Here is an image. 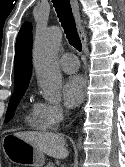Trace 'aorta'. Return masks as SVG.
Returning <instances> with one entry per match:
<instances>
[{
	"instance_id": "obj_1",
	"label": "aorta",
	"mask_w": 125,
	"mask_h": 167,
	"mask_svg": "<svg viewBox=\"0 0 125 167\" xmlns=\"http://www.w3.org/2000/svg\"><path fill=\"white\" fill-rule=\"evenodd\" d=\"M62 41V30L49 27L38 32L34 44V66L42 96L50 103L61 100L62 76L57 55Z\"/></svg>"
}]
</instances>
